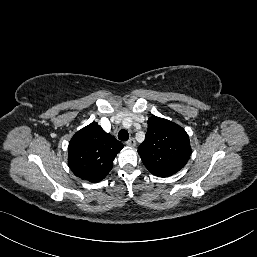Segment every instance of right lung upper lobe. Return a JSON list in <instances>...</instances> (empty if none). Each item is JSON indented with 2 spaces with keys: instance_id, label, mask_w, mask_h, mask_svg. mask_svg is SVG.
I'll return each instance as SVG.
<instances>
[{
  "instance_id": "right-lung-upper-lobe-1",
  "label": "right lung upper lobe",
  "mask_w": 257,
  "mask_h": 257,
  "mask_svg": "<svg viewBox=\"0 0 257 257\" xmlns=\"http://www.w3.org/2000/svg\"><path fill=\"white\" fill-rule=\"evenodd\" d=\"M123 144L106 133L97 122L78 131L69 142L68 164L79 178L90 182L104 179Z\"/></svg>"
}]
</instances>
